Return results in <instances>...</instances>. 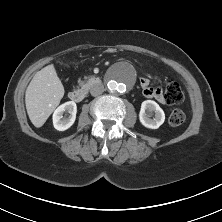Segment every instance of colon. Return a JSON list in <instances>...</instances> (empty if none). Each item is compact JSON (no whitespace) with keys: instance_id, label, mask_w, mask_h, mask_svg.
I'll return each instance as SVG.
<instances>
[{"instance_id":"5ec220e1","label":"colon","mask_w":222,"mask_h":222,"mask_svg":"<svg viewBox=\"0 0 222 222\" xmlns=\"http://www.w3.org/2000/svg\"><path fill=\"white\" fill-rule=\"evenodd\" d=\"M164 98L169 104H176L184 99L183 91L176 81L166 83ZM168 121L172 126L181 125L185 121V113L180 109H175L170 114Z\"/></svg>"}]
</instances>
